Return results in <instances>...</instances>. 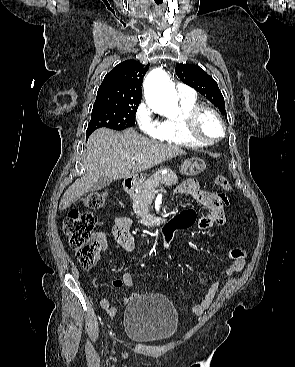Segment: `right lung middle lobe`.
<instances>
[{"instance_id":"dd1d6c3e","label":"right lung middle lobe","mask_w":295,"mask_h":367,"mask_svg":"<svg viewBox=\"0 0 295 367\" xmlns=\"http://www.w3.org/2000/svg\"><path fill=\"white\" fill-rule=\"evenodd\" d=\"M140 101L110 97H96L86 137L100 127L123 130L135 125V114Z\"/></svg>"}]
</instances>
